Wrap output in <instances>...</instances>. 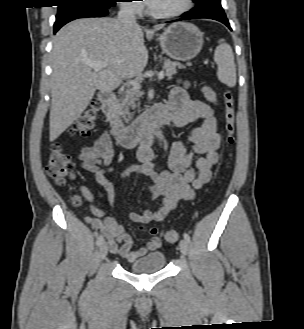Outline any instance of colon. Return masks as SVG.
<instances>
[{
    "mask_svg": "<svg viewBox=\"0 0 304 329\" xmlns=\"http://www.w3.org/2000/svg\"><path fill=\"white\" fill-rule=\"evenodd\" d=\"M223 99L226 144L231 147L235 144L234 98L230 91H225ZM99 110L100 103L97 100H92L76 121L73 133L82 137L88 135L97 120ZM46 172L60 186L65 185L74 176V164L70 155L63 150L60 143H55L51 146ZM72 202L78 206L81 201L79 197H74ZM141 228L143 229V227ZM148 231L151 235L158 233L156 228H150ZM164 238L167 242L175 243L180 239V234L177 230L168 229L164 232Z\"/></svg>",
    "mask_w": 304,
    "mask_h": 329,
    "instance_id": "obj_1",
    "label": "colon"
}]
</instances>
